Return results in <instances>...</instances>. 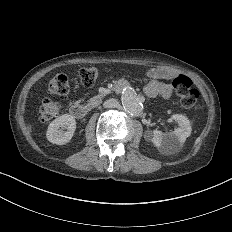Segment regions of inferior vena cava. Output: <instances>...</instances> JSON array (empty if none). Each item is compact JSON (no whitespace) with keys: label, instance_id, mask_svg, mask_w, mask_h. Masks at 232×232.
<instances>
[{"label":"inferior vena cava","instance_id":"602c4592","mask_svg":"<svg viewBox=\"0 0 232 232\" xmlns=\"http://www.w3.org/2000/svg\"><path fill=\"white\" fill-rule=\"evenodd\" d=\"M118 105V101L114 98L108 99L103 103V106L105 108H113L116 107Z\"/></svg>","mask_w":232,"mask_h":232}]
</instances>
